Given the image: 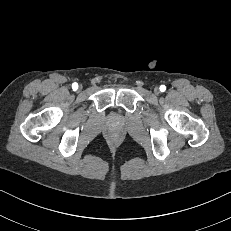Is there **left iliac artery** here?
I'll return each instance as SVG.
<instances>
[{
    "label": "left iliac artery",
    "mask_w": 231,
    "mask_h": 231,
    "mask_svg": "<svg viewBox=\"0 0 231 231\" xmlns=\"http://www.w3.org/2000/svg\"><path fill=\"white\" fill-rule=\"evenodd\" d=\"M165 90H166V86H165V85H161V86H160V91H161V92H164Z\"/></svg>",
    "instance_id": "left-iliac-artery-1"
}]
</instances>
